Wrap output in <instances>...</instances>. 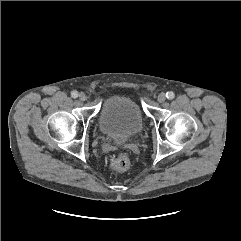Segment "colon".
Listing matches in <instances>:
<instances>
[{
    "instance_id": "1",
    "label": "colon",
    "mask_w": 241,
    "mask_h": 241,
    "mask_svg": "<svg viewBox=\"0 0 241 241\" xmlns=\"http://www.w3.org/2000/svg\"><path fill=\"white\" fill-rule=\"evenodd\" d=\"M130 165L129 158L126 154L120 153L112 159L110 168L116 172H123L128 169Z\"/></svg>"
}]
</instances>
